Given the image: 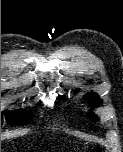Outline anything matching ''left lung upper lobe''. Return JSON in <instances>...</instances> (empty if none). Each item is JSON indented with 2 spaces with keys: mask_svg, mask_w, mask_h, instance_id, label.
Wrapping results in <instances>:
<instances>
[{
  "mask_svg": "<svg viewBox=\"0 0 123 152\" xmlns=\"http://www.w3.org/2000/svg\"><path fill=\"white\" fill-rule=\"evenodd\" d=\"M88 101L93 105L94 107L98 105L101 102V99L95 94V93H89L86 95ZM91 120L95 121L98 120L96 116L93 114L90 115Z\"/></svg>",
  "mask_w": 123,
  "mask_h": 152,
  "instance_id": "obj_1",
  "label": "left lung upper lobe"
}]
</instances>
